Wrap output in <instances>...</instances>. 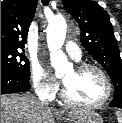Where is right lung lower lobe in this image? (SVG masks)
<instances>
[{"label":"right lung lower lobe","mask_w":122,"mask_h":123,"mask_svg":"<svg viewBox=\"0 0 122 123\" xmlns=\"http://www.w3.org/2000/svg\"><path fill=\"white\" fill-rule=\"evenodd\" d=\"M30 90V82L15 72L1 68V95Z\"/></svg>","instance_id":"1"}]
</instances>
